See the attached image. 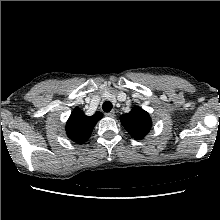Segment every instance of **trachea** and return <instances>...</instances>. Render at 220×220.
<instances>
[{
  "label": "trachea",
  "mask_w": 220,
  "mask_h": 220,
  "mask_svg": "<svg viewBox=\"0 0 220 220\" xmlns=\"http://www.w3.org/2000/svg\"><path fill=\"white\" fill-rule=\"evenodd\" d=\"M104 112H110L112 109V103L110 101H105L102 105Z\"/></svg>",
  "instance_id": "obj_1"
}]
</instances>
